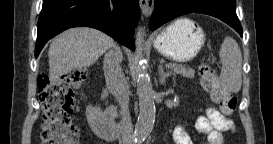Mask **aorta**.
Segmentation results:
<instances>
[{"label":"aorta","mask_w":273,"mask_h":144,"mask_svg":"<svg viewBox=\"0 0 273 144\" xmlns=\"http://www.w3.org/2000/svg\"><path fill=\"white\" fill-rule=\"evenodd\" d=\"M144 29L138 28L136 33V60H137V93L139 97V116L135 126L134 138L136 142L145 141L153 130L155 122V93L146 69V60L143 54L145 42Z\"/></svg>","instance_id":"762f6f07"}]
</instances>
